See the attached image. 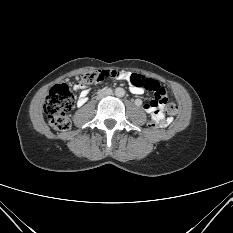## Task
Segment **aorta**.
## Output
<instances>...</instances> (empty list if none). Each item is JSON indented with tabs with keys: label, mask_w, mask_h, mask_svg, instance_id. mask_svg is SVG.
Returning a JSON list of instances; mask_svg holds the SVG:
<instances>
[{
	"label": "aorta",
	"mask_w": 233,
	"mask_h": 233,
	"mask_svg": "<svg viewBox=\"0 0 233 233\" xmlns=\"http://www.w3.org/2000/svg\"><path fill=\"white\" fill-rule=\"evenodd\" d=\"M115 95L117 97H123L125 95V90L123 88H116Z\"/></svg>",
	"instance_id": "762f6f07"
}]
</instances>
